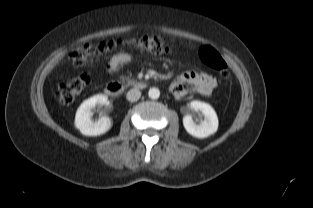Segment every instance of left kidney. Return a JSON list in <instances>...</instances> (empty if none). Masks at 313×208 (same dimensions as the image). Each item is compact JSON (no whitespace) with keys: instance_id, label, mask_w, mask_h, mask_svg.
I'll return each mask as SVG.
<instances>
[{"instance_id":"1","label":"left kidney","mask_w":313,"mask_h":208,"mask_svg":"<svg viewBox=\"0 0 313 208\" xmlns=\"http://www.w3.org/2000/svg\"><path fill=\"white\" fill-rule=\"evenodd\" d=\"M189 108L204 115V120L200 124H196L191 115H185L183 117L184 128L190 135L196 138H205L217 131L218 118L215 110L209 104L192 101Z\"/></svg>"}]
</instances>
